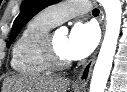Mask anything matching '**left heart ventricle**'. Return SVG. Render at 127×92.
I'll use <instances>...</instances> for the list:
<instances>
[{
	"mask_svg": "<svg viewBox=\"0 0 127 92\" xmlns=\"http://www.w3.org/2000/svg\"><path fill=\"white\" fill-rule=\"evenodd\" d=\"M67 40L68 35L66 33L57 32L54 34V43L58 52L62 56L69 58L66 52Z\"/></svg>",
	"mask_w": 127,
	"mask_h": 92,
	"instance_id": "1",
	"label": "left heart ventricle"
}]
</instances>
